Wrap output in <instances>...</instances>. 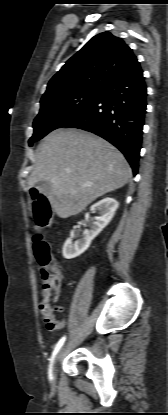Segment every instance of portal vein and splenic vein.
Instances as JSON below:
<instances>
[{
	"label": "portal vein and splenic vein",
	"instance_id": "1",
	"mask_svg": "<svg viewBox=\"0 0 168 415\" xmlns=\"http://www.w3.org/2000/svg\"><path fill=\"white\" fill-rule=\"evenodd\" d=\"M86 186H91V184H88V185H86Z\"/></svg>",
	"mask_w": 168,
	"mask_h": 415
}]
</instances>
